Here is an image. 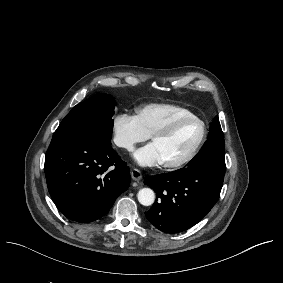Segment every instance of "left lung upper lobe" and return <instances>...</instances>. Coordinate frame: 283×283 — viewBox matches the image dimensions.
<instances>
[{
  "mask_svg": "<svg viewBox=\"0 0 283 283\" xmlns=\"http://www.w3.org/2000/svg\"><path fill=\"white\" fill-rule=\"evenodd\" d=\"M203 147H208V148L217 147L222 151H225L224 136L218 117H215L214 121L212 122L208 140L205 142Z\"/></svg>",
  "mask_w": 283,
  "mask_h": 283,
  "instance_id": "obj_1",
  "label": "left lung upper lobe"
}]
</instances>
